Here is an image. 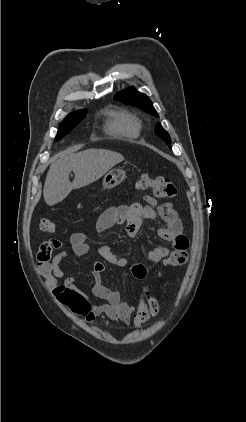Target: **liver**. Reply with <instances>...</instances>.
<instances>
[{"label":"liver","mask_w":246,"mask_h":422,"mask_svg":"<svg viewBox=\"0 0 246 422\" xmlns=\"http://www.w3.org/2000/svg\"><path fill=\"white\" fill-rule=\"evenodd\" d=\"M124 157L117 152L103 149H88L79 153H63L54 161L47 173L43 197L47 205L53 206L64 200L73 189L87 186L106 174ZM73 171L75 178L69 180Z\"/></svg>","instance_id":"liver-1"}]
</instances>
